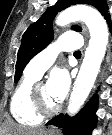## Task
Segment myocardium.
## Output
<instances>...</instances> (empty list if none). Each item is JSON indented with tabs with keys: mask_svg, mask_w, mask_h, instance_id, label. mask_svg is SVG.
I'll use <instances>...</instances> for the list:
<instances>
[{
	"mask_svg": "<svg viewBox=\"0 0 112 135\" xmlns=\"http://www.w3.org/2000/svg\"><path fill=\"white\" fill-rule=\"evenodd\" d=\"M43 84V82H36L30 92V101H31V105L33 110L40 115L41 117H49L52 116L54 114H56L57 112H59L61 105L57 104L56 106L52 107V108H48L44 105L41 97H40V93H39V88L40 86Z\"/></svg>",
	"mask_w": 112,
	"mask_h": 135,
	"instance_id": "obj_1",
	"label": "myocardium"
}]
</instances>
